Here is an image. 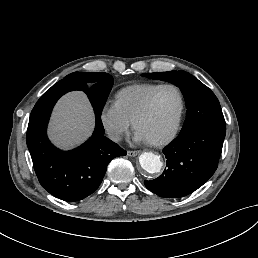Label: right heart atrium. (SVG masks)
<instances>
[{
  "mask_svg": "<svg viewBox=\"0 0 258 258\" xmlns=\"http://www.w3.org/2000/svg\"><path fill=\"white\" fill-rule=\"evenodd\" d=\"M101 123L106 132L118 137L129 129L130 122L122 115L114 103L106 105L100 114Z\"/></svg>",
  "mask_w": 258,
  "mask_h": 258,
  "instance_id": "obj_1",
  "label": "right heart atrium"
}]
</instances>
